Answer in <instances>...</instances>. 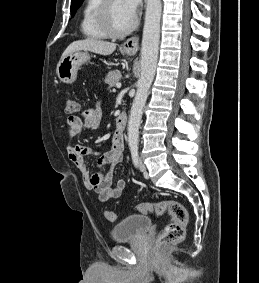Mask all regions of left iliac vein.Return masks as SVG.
Returning <instances> with one entry per match:
<instances>
[{
  "label": "left iliac vein",
  "mask_w": 259,
  "mask_h": 283,
  "mask_svg": "<svg viewBox=\"0 0 259 283\" xmlns=\"http://www.w3.org/2000/svg\"><path fill=\"white\" fill-rule=\"evenodd\" d=\"M139 169L144 174V176L147 178L148 177L147 168L141 158L139 159Z\"/></svg>",
  "instance_id": "1"
}]
</instances>
